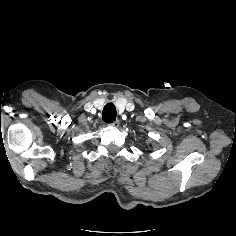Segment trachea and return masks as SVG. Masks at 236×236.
Instances as JSON below:
<instances>
[{
    "mask_svg": "<svg viewBox=\"0 0 236 236\" xmlns=\"http://www.w3.org/2000/svg\"><path fill=\"white\" fill-rule=\"evenodd\" d=\"M117 112L113 103H107L102 111V119L105 123H113L116 120Z\"/></svg>",
    "mask_w": 236,
    "mask_h": 236,
    "instance_id": "1",
    "label": "trachea"
}]
</instances>
